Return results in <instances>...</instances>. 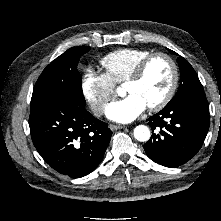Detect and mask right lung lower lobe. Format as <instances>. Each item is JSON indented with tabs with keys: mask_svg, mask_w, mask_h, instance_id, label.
I'll return each mask as SVG.
<instances>
[{
	"mask_svg": "<svg viewBox=\"0 0 221 221\" xmlns=\"http://www.w3.org/2000/svg\"><path fill=\"white\" fill-rule=\"evenodd\" d=\"M29 125L43 159L73 178L83 177L98 166L112 134L108 124L91 115L85 105L64 97L31 109Z\"/></svg>",
	"mask_w": 221,
	"mask_h": 221,
	"instance_id": "1",
	"label": "right lung lower lobe"
}]
</instances>
